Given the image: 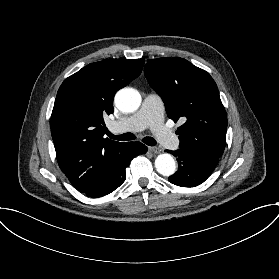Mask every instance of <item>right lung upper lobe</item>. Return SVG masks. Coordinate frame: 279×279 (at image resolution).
Listing matches in <instances>:
<instances>
[{"mask_svg": "<svg viewBox=\"0 0 279 279\" xmlns=\"http://www.w3.org/2000/svg\"><path fill=\"white\" fill-rule=\"evenodd\" d=\"M144 59L91 63L64 80L52 115L51 135L60 169L82 193L114 168L129 143L104 138L103 114L113 112L115 93L137 78Z\"/></svg>", "mask_w": 279, "mask_h": 279, "instance_id": "obj_1", "label": "right lung upper lobe"}]
</instances>
